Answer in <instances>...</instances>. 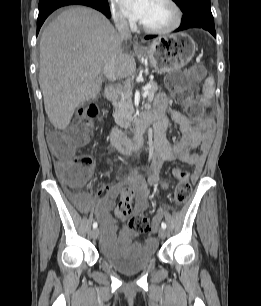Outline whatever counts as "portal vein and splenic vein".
<instances>
[{"label":"portal vein and splenic vein","mask_w":261,"mask_h":306,"mask_svg":"<svg viewBox=\"0 0 261 306\" xmlns=\"http://www.w3.org/2000/svg\"><path fill=\"white\" fill-rule=\"evenodd\" d=\"M149 88H150V85H148V84L144 87L143 97L145 98V97L148 96V100H149V102H151L153 100L154 96H149Z\"/></svg>","instance_id":"portal-vein-and-splenic-vein-1"}]
</instances>
